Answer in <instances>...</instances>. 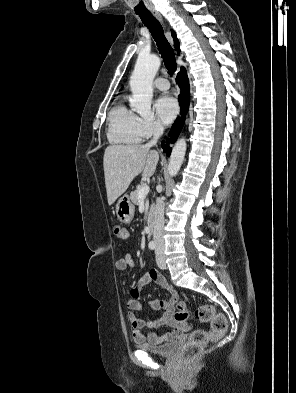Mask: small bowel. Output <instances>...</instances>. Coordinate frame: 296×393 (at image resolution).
I'll list each match as a JSON object with an SVG mask.
<instances>
[{
	"instance_id": "1",
	"label": "small bowel",
	"mask_w": 296,
	"mask_h": 393,
	"mask_svg": "<svg viewBox=\"0 0 296 393\" xmlns=\"http://www.w3.org/2000/svg\"><path fill=\"white\" fill-rule=\"evenodd\" d=\"M134 266L133 256L131 253H126L122 258L116 261L115 267L120 272H125ZM154 281L162 288L168 289L173 292V296L168 299H150L148 301L151 310L153 312V318L150 320H144L139 316V312L142 310V304L140 302V292L142 287ZM178 302V295L176 291L169 285L165 276L158 270L152 269L147 272L143 278L131 288L129 297L126 302L128 308V318L131 326V334L136 343H149L152 345H158L166 341L174 340L176 337L182 335L184 332L190 329V325L185 322H176L172 318L173 308ZM163 308L164 312L157 315L158 311ZM162 325H168L173 327L171 332L163 334H157L154 332L143 333L144 328L154 329Z\"/></svg>"
}]
</instances>
